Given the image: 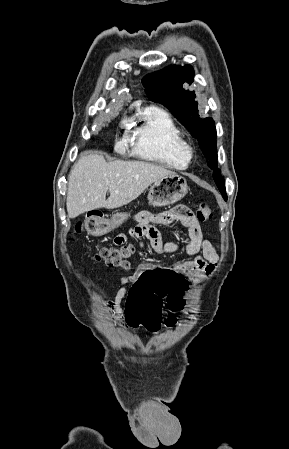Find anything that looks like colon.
Returning <instances> with one entry per match:
<instances>
[{"label":"colon","mask_w":289,"mask_h":449,"mask_svg":"<svg viewBox=\"0 0 289 449\" xmlns=\"http://www.w3.org/2000/svg\"><path fill=\"white\" fill-rule=\"evenodd\" d=\"M196 217L202 222L212 219L213 211L207 202L199 203ZM88 225L94 226L95 221L90 220ZM84 227V222H78L75 226L76 233L82 232ZM133 252L132 245L114 244L100 249L95 254V259L106 266H118ZM186 288L185 278L174 268H145L136 282H133V289H130L125 303L129 325H142L152 332L157 331L162 323L163 305L168 304L172 311L180 309L183 305L182 294ZM174 321V316H170L167 324L171 325Z\"/></svg>","instance_id":"obj_1"}]
</instances>
